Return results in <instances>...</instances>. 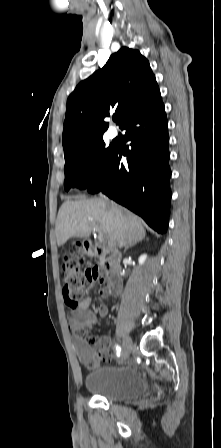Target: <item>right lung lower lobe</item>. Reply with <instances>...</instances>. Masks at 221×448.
Here are the masks:
<instances>
[{"label": "right lung lower lobe", "mask_w": 221, "mask_h": 448, "mask_svg": "<svg viewBox=\"0 0 221 448\" xmlns=\"http://www.w3.org/2000/svg\"><path fill=\"white\" fill-rule=\"evenodd\" d=\"M120 128L131 148L115 146L106 168L88 187L141 216L158 233L168 226L171 191L168 122L160 93L130 113ZM127 157V164L121 156Z\"/></svg>", "instance_id": "right-lung-lower-lobe-1"}]
</instances>
